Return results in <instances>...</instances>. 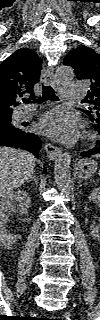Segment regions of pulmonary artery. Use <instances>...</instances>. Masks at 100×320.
<instances>
[{
  "mask_svg": "<svg viewBox=\"0 0 100 320\" xmlns=\"http://www.w3.org/2000/svg\"><path fill=\"white\" fill-rule=\"evenodd\" d=\"M84 95V87L81 83H70L65 85L63 89V98L66 101H76ZM35 106L29 105L23 111L24 116H29L34 110Z\"/></svg>",
  "mask_w": 100,
  "mask_h": 320,
  "instance_id": "e3ab8cb5",
  "label": "pulmonary artery"
}]
</instances>
